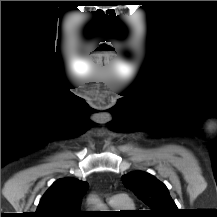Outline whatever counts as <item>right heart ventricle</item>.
I'll return each mask as SVG.
<instances>
[{"mask_svg": "<svg viewBox=\"0 0 217 217\" xmlns=\"http://www.w3.org/2000/svg\"><path fill=\"white\" fill-rule=\"evenodd\" d=\"M111 207L115 210H118V211H122V210H131V209H134V204L131 200H127V202L125 203H122V204H110Z\"/></svg>", "mask_w": 217, "mask_h": 217, "instance_id": "e07e8e85", "label": "right heart ventricle"}]
</instances>
